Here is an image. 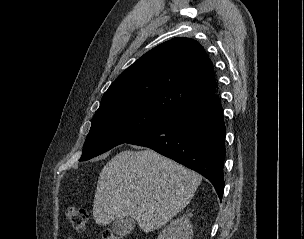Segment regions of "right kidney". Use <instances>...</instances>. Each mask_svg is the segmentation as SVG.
Wrapping results in <instances>:
<instances>
[{"mask_svg": "<svg viewBox=\"0 0 304 239\" xmlns=\"http://www.w3.org/2000/svg\"><path fill=\"white\" fill-rule=\"evenodd\" d=\"M193 228L188 217L183 215L164 228L158 239H192Z\"/></svg>", "mask_w": 304, "mask_h": 239, "instance_id": "1", "label": "right kidney"}]
</instances>
